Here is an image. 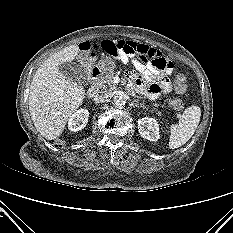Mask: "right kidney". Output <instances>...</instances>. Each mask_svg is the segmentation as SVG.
I'll return each instance as SVG.
<instances>
[{
	"label": "right kidney",
	"mask_w": 233,
	"mask_h": 233,
	"mask_svg": "<svg viewBox=\"0 0 233 233\" xmlns=\"http://www.w3.org/2000/svg\"><path fill=\"white\" fill-rule=\"evenodd\" d=\"M89 112L86 109L77 110L68 120L69 130L76 132L85 128L88 122Z\"/></svg>",
	"instance_id": "right-kidney-1"
}]
</instances>
